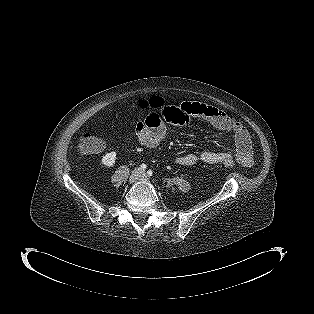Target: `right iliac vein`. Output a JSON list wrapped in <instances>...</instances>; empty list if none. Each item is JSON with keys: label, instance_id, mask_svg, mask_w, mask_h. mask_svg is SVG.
Wrapping results in <instances>:
<instances>
[{"label": "right iliac vein", "instance_id": "right-iliac-vein-1", "mask_svg": "<svg viewBox=\"0 0 314 314\" xmlns=\"http://www.w3.org/2000/svg\"><path fill=\"white\" fill-rule=\"evenodd\" d=\"M140 176H141V172H140V170L139 169H135L132 173H131V175H130V177H129V183H134V182H136L139 178H140Z\"/></svg>", "mask_w": 314, "mask_h": 314}]
</instances>
